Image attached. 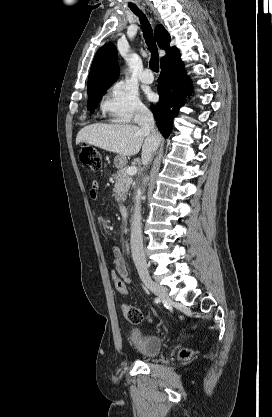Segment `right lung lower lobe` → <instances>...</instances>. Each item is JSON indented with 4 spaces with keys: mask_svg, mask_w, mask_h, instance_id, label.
<instances>
[{
    "mask_svg": "<svg viewBox=\"0 0 272 417\" xmlns=\"http://www.w3.org/2000/svg\"><path fill=\"white\" fill-rule=\"evenodd\" d=\"M159 102L151 109L156 124L164 137L172 130V121L190 95V79L187 77L180 53L177 49L161 61V74L158 79Z\"/></svg>",
    "mask_w": 272,
    "mask_h": 417,
    "instance_id": "right-lung-lower-lobe-1",
    "label": "right lung lower lobe"
}]
</instances>
